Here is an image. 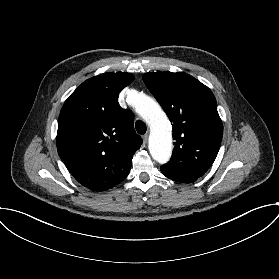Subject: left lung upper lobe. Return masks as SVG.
Segmentation results:
<instances>
[{
	"label": "left lung upper lobe",
	"mask_w": 279,
	"mask_h": 279,
	"mask_svg": "<svg viewBox=\"0 0 279 279\" xmlns=\"http://www.w3.org/2000/svg\"><path fill=\"white\" fill-rule=\"evenodd\" d=\"M143 80L173 122L175 148L161 167L197 180L214 162L223 136L213 93L184 72L146 73Z\"/></svg>",
	"instance_id": "5c2ea615"
}]
</instances>
